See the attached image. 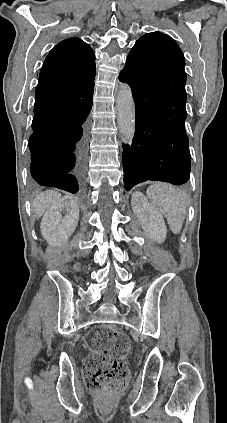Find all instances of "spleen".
I'll list each match as a JSON object with an SVG mask.
<instances>
[{"mask_svg":"<svg viewBox=\"0 0 227 423\" xmlns=\"http://www.w3.org/2000/svg\"><path fill=\"white\" fill-rule=\"evenodd\" d=\"M147 196L154 210L165 215L171 231L180 233L187 210L185 196L171 184L163 182H157L147 188Z\"/></svg>","mask_w":227,"mask_h":423,"instance_id":"3e777b00","label":"spleen"}]
</instances>
